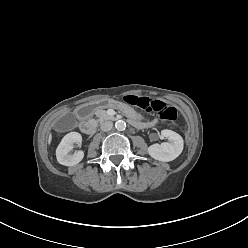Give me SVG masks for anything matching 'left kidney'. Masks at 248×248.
<instances>
[{
    "label": "left kidney",
    "instance_id": "5707ae66",
    "mask_svg": "<svg viewBox=\"0 0 248 248\" xmlns=\"http://www.w3.org/2000/svg\"><path fill=\"white\" fill-rule=\"evenodd\" d=\"M161 135L166 137L170 142L153 144L148 148V154L155 160L169 162L176 159L183 151V138L172 130H162Z\"/></svg>",
    "mask_w": 248,
    "mask_h": 248
}]
</instances>
